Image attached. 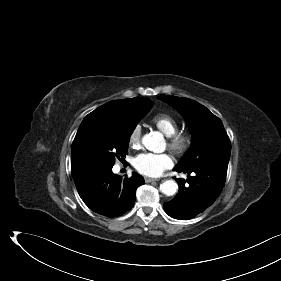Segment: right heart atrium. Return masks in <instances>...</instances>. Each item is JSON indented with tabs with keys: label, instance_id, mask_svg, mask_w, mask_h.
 I'll return each mask as SVG.
<instances>
[{
	"label": "right heart atrium",
	"instance_id": "1",
	"mask_svg": "<svg viewBox=\"0 0 281 281\" xmlns=\"http://www.w3.org/2000/svg\"><path fill=\"white\" fill-rule=\"evenodd\" d=\"M142 129L139 124L135 125L130 132L128 142L133 148L138 147L141 141Z\"/></svg>",
	"mask_w": 281,
	"mask_h": 281
}]
</instances>
